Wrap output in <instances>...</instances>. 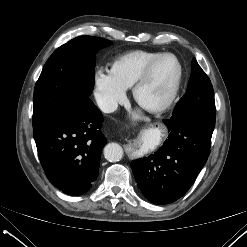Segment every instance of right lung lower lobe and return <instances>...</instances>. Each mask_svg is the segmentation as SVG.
Instances as JSON below:
<instances>
[{"mask_svg": "<svg viewBox=\"0 0 247 247\" xmlns=\"http://www.w3.org/2000/svg\"><path fill=\"white\" fill-rule=\"evenodd\" d=\"M102 113L87 96L33 130L41 165L49 181L69 195L87 192L99 172L107 139L101 132Z\"/></svg>", "mask_w": 247, "mask_h": 247, "instance_id": "right-lung-lower-lobe-1", "label": "right lung lower lobe"}]
</instances>
